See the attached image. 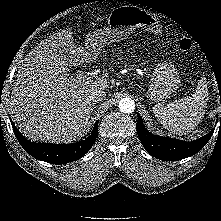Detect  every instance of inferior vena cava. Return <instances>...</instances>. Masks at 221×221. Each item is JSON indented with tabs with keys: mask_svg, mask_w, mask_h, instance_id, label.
I'll list each match as a JSON object with an SVG mask.
<instances>
[{
	"mask_svg": "<svg viewBox=\"0 0 221 221\" xmlns=\"http://www.w3.org/2000/svg\"><path fill=\"white\" fill-rule=\"evenodd\" d=\"M106 97V92L102 89H94L90 93V100L93 103L104 100Z\"/></svg>",
	"mask_w": 221,
	"mask_h": 221,
	"instance_id": "inferior-vena-cava-1",
	"label": "inferior vena cava"
}]
</instances>
